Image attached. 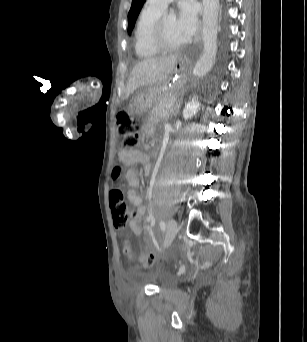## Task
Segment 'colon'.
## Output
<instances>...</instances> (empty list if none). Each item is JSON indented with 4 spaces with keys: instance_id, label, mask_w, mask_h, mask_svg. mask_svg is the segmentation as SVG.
Masks as SVG:
<instances>
[{
    "instance_id": "obj_1",
    "label": "colon",
    "mask_w": 307,
    "mask_h": 342,
    "mask_svg": "<svg viewBox=\"0 0 307 342\" xmlns=\"http://www.w3.org/2000/svg\"><path fill=\"white\" fill-rule=\"evenodd\" d=\"M117 129L119 135L123 137V144L126 147H136L140 139L141 125L130 115V113L123 109L117 114ZM122 179L121 165L117 164L113 167L111 180L113 186L109 191V202L112 209L113 220L116 227L124 228L131 221L134 210L131 209L124 197L122 190L117 186ZM122 246H131V239H122ZM123 254H130V247L122 248ZM155 262V256L150 254L143 258L142 264L150 266Z\"/></svg>"
}]
</instances>
